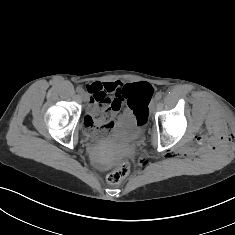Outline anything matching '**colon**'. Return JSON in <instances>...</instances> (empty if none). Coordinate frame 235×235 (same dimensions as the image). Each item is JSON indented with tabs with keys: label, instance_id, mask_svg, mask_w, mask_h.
I'll list each match as a JSON object with an SVG mask.
<instances>
[{
	"label": "colon",
	"instance_id": "5ec220e1",
	"mask_svg": "<svg viewBox=\"0 0 235 235\" xmlns=\"http://www.w3.org/2000/svg\"><path fill=\"white\" fill-rule=\"evenodd\" d=\"M152 93V87L147 83H136L124 90L123 97L127 106L132 109L139 125H144L148 119L147 100ZM111 121L109 110H102L96 115L85 118V124L93 131L99 132ZM129 163L123 160L116 164L107 175V182L111 185L120 183L129 172Z\"/></svg>",
	"mask_w": 235,
	"mask_h": 235
}]
</instances>
